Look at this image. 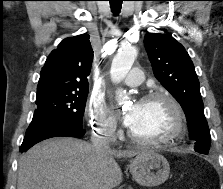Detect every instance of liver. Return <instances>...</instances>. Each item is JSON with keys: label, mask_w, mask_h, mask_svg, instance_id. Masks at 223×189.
Returning <instances> with one entry per match:
<instances>
[{"label": "liver", "mask_w": 223, "mask_h": 189, "mask_svg": "<svg viewBox=\"0 0 223 189\" xmlns=\"http://www.w3.org/2000/svg\"><path fill=\"white\" fill-rule=\"evenodd\" d=\"M139 150L96 152L87 142L53 138L29 149L18 164L17 189H112L122 182L115 157Z\"/></svg>", "instance_id": "liver-1"}]
</instances>
